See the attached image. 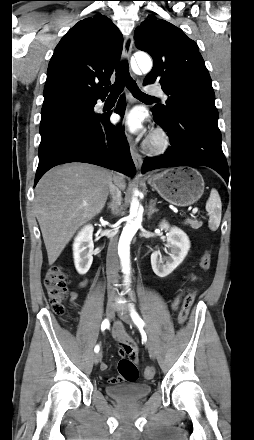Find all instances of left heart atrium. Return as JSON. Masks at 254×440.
I'll return each mask as SVG.
<instances>
[{
  "mask_svg": "<svg viewBox=\"0 0 254 440\" xmlns=\"http://www.w3.org/2000/svg\"><path fill=\"white\" fill-rule=\"evenodd\" d=\"M124 124L132 133L140 132L143 129L141 114L136 111H130L124 118Z\"/></svg>",
  "mask_w": 254,
  "mask_h": 440,
  "instance_id": "left-heart-atrium-1",
  "label": "left heart atrium"
}]
</instances>
